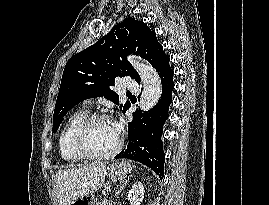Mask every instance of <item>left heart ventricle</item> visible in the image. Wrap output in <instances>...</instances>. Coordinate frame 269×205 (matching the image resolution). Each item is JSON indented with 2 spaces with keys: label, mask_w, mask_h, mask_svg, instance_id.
I'll return each instance as SVG.
<instances>
[{
  "label": "left heart ventricle",
  "mask_w": 269,
  "mask_h": 205,
  "mask_svg": "<svg viewBox=\"0 0 269 205\" xmlns=\"http://www.w3.org/2000/svg\"><path fill=\"white\" fill-rule=\"evenodd\" d=\"M119 133L108 119L96 122L88 131L87 146L93 153L103 154L111 151L117 144Z\"/></svg>",
  "instance_id": "1"
}]
</instances>
